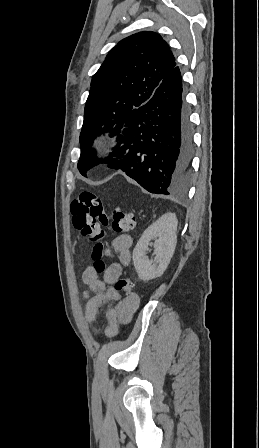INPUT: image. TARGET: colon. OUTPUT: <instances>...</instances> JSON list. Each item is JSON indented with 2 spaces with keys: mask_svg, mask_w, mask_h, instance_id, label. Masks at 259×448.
I'll list each match as a JSON object with an SVG mask.
<instances>
[{
  "mask_svg": "<svg viewBox=\"0 0 259 448\" xmlns=\"http://www.w3.org/2000/svg\"><path fill=\"white\" fill-rule=\"evenodd\" d=\"M71 214L74 227L93 245L91 257L94 269L102 273L105 270V228L116 234L128 232L135 227L134 214L121 208H115L108 214L101 198L91 191H82L72 201ZM114 286L126 297L134 295V285L128 278H119Z\"/></svg>",
  "mask_w": 259,
  "mask_h": 448,
  "instance_id": "1",
  "label": "colon"
}]
</instances>
